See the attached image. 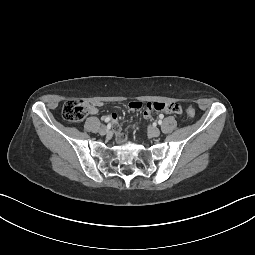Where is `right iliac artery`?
I'll use <instances>...</instances> for the list:
<instances>
[{
	"instance_id": "right-iliac-artery-1",
	"label": "right iliac artery",
	"mask_w": 255,
	"mask_h": 255,
	"mask_svg": "<svg viewBox=\"0 0 255 255\" xmlns=\"http://www.w3.org/2000/svg\"><path fill=\"white\" fill-rule=\"evenodd\" d=\"M111 120V118L108 116L104 119L105 122H109Z\"/></svg>"
}]
</instances>
